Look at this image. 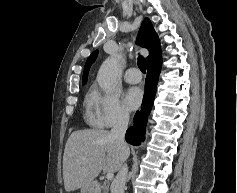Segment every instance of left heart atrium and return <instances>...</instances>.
Here are the masks:
<instances>
[{
	"mask_svg": "<svg viewBox=\"0 0 237 193\" xmlns=\"http://www.w3.org/2000/svg\"><path fill=\"white\" fill-rule=\"evenodd\" d=\"M143 100V92L140 88H129L124 96L125 104L128 108L134 110L140 107Z\"/></svg>",
	"mask_w": 237,
	"mask_h": 193,
	"instance_id": "left-heart-atrium-1",
	"label": "left heart atrium"
}]
</instances>
